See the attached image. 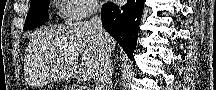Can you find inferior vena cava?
I'll list each match as a JSON object with an SVG mask.
<instances>
[{
	"mask_svg": "<svg viewBox=\"0 0 216 90\" xmlns=\"http://www.w3.org/2000/svg\"><path fill=\"white\" fill-rule=\"evenodd\" d=\"M98 10H101V8L100 6H96V4H92L89 8V12H91L89 24H91V30L95 32L100 46L99 60H97L92 68V76L95 82V90H112L113 66L110 60L111 38L102 26L101 16H98Z\"/></svg>",
	"mask_w": 216,
	"mask_h": 90,
	"instance_id": "602c4592",
	"label": "inferior vena cava"
}]
</instances>
